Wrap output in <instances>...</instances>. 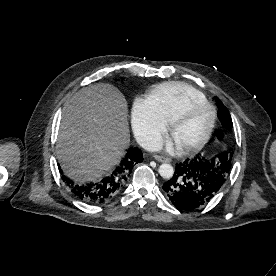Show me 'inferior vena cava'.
I'll return each instance as SVG.
<instances>
[{"label":"inferior vena cava","instance_id":"obj_1","mask_svg":"<svg viewBox=\"0 0 276 276\" xmlns=\"http://www.w3.org/2000/svg\"><path fill=\"white\" fill-rule=\"evenodd\" d=\"M139 145L147 151H160L163 147L162 138L160 136H144L138 139Z\"/></svg>","mask_w":276,"mask_h":276}]
</instances>
